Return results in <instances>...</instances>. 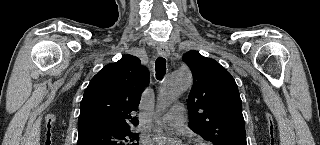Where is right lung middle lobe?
<instances>
[{
    "instance_id": "dd1d6c3e",
    "label": "right lung middle lobe",
    "mask_w": 320,
    "mask_h": 145,
    "mask_svg": "<svg viewBox=\"0 0 320 145\" xmlns=\"http://www.w3.org/2000/svg\"><path fill=\"white\" fill-rule=\"evenodd\" d=\"M138 139L128 128L105 129L79 136L77 145H138Z\"/></svg>"
}]
</instances>
